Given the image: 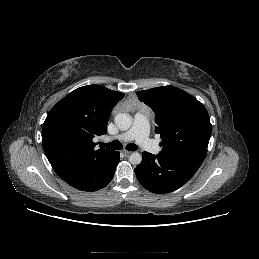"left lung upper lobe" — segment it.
I'll return each instance as SVG.
<instances>
[{
  "label": "left lung upper lobe",
  "mask_w": 259,
  "mask_h": 259,
  "mask_svg": "<svg viewBox=\"0 0 259 259\" xmlns=\"http://www.w3.org/2000/svg\"><path fill=\"white\" fill-rule=\"evenodd\" d=\"M136 94L155 112V132L163 139L159 155L200 167L212 131L204 105L174 86L157 87Z\"/></svg>",
  "instance_id": "obj_1"
}]
</instances>
